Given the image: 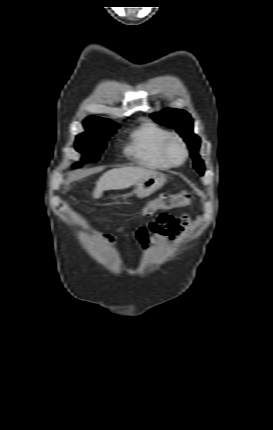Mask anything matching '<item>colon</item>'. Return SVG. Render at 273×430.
I'll return each instance as SVG.
<instances>
[{"instance_id": "5ec220e1", "label": "colon", "mask_w": 273, "mask_h": 430, "mask_svg": "<svg viewBox=\"0 0 273 430\" xmlns=\"http://www.w3.org/2000/svg\"><path fill=\"white\" fill-rule=\"evenodd\" d=\"M191 195L188 192L163 193L157 199L147 202L141 208V214L152 216L159 209H172L190 205Z\"/></svg>"}]
</instances>
